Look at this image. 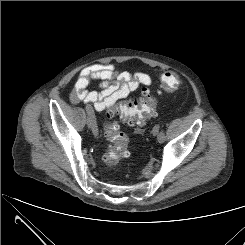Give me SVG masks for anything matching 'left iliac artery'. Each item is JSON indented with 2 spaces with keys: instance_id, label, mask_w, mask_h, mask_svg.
I'll use <instances>...</instances> for the list:
<instances>
[{
  "instance_id": "left-iliac-artery-1",
  "label": "left iliac artery",
  "mask_w": 245,
  "mask_h": 245,
  "mask_svg": "<svg viewBox=\"0 0 245 245\" xmlns=\"http://www.w3.org/2000/svg\"><path fill=\"white\" fill-rule=\"evenodd\" d=\"M159 134H160L159 141H164V139H165V132L163 130H161Z\"/></svg>"
}]
</instances>
